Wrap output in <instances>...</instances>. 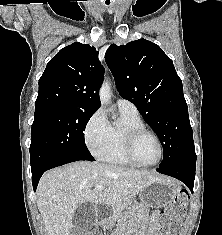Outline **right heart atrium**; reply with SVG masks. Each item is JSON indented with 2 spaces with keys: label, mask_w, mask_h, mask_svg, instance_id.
I'll return each instance as SVG.
<instances>
[{
  "label": "right heart atrium",
  "mask_w": 222,
  "mask_h": 235,
  "mask_svg": "<svg viewBox=\"0 0 222 235\" xmlns=\"http://www.w3.org/2000/svg\"><path fill=\"white\" fill-rule=\"evenodd\" d=\"M109 122L101 109L96 110L84 128V141L94 156H99L109 139Z\"/></svg>",
  "instance_id": "obj_1"
}]
</instances>
